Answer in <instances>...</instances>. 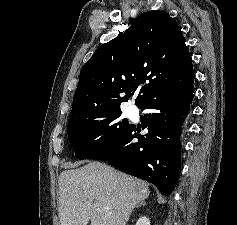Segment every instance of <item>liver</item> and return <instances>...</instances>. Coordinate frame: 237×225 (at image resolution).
Instances as JSON below:
<instances>
[{
  "label": "liver",
  "mask_w": 237,
  "mask_h": 225,
  "mask_svg": "<svg viewBox=\"0 0 237 225\" xmlns=\"http://www.w3.org/2000/svg\"><path fill=\"white\" fill-rule=\"evenodd\" d=\"M58 186L61 225H126L150 195L146 182L98 161L63 171Z\"/></svg>",
  "instance_id": "6515ba94"
}]
</instances>
